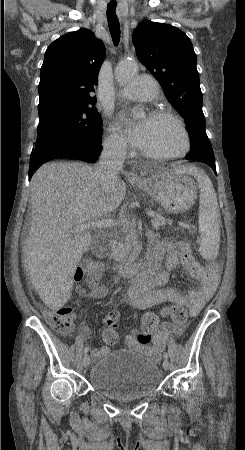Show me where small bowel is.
<instances>
[{"label": "small bowel", "mask_w": 245, "mask_h": 450, "mask_svg": "<svg viewBox=\"0 0 245 450\" xmlns=\"http://www.w3.org/2000/svg\"><path fill=\"white\" fill-rule=\"evenodd\" d=\"M147 254L148 257L155 259V267L133 277L128 290L130 304L140 310L160 304H180L187 307L192 317L197 316L218 286L219 268L216 271H210L202 267L187 243L172 239H159L155 233L149 235ZM179 265L198 280L199 289L182 293L167 286L171 272ZM109 285L90 286L89 289L80 290L79 293L86 298H102ZM184 329L185 326H177L170 321L158 322L152 335L153 349L157 352L162 351L172 335L178 336L183 333ZM124 343L130 349L150 351L149 348L138 343L135 333L127 335ZM110 351L109 346H104L100 352L92 351V354H108Z\"/></svg>", "instance_id": "small-bowel-1"}]
</instances>
